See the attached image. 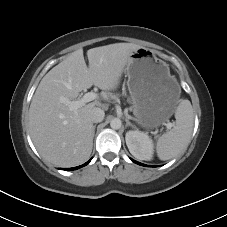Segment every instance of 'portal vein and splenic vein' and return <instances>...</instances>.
Returning <instances> with one entry per match:
<instances>
[{
	"label": "portal vein and splenic vein",
	"mask_w": 227,
	"mask_h": 227,
	"mask_svg": "<svg viewBox=\"0 0 227 227\" xmlns=\"http://www.w3.org/2000/svg\"><path fill=\"white\" fill-rule=\"evenodd\" d=\"M97 99V94L94 92H88L86 93L81 99L70 101L68 99L63 98L62 102L69 106V108L73 111H76L80 107L84 106L86 103L93 101ZM167 129H171L173 127V124L168 122L164 124Z\"/></svg>",
	"instance_id": "1"
}]
</instances>
